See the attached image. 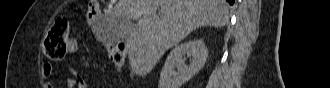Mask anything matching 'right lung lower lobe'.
<instances>
[{
    "mask_svg": "<svg viewBox=\"0 0 330 88\" xmlns=\"http://www.w3.org/2000/svg\"><path fill=\"white\" fill-rule=\"evenodd\" d=\"M234 1H235V0H227V2H228L229 4H231V5L234 4Z\"/></svg>",
    "mask_w": 330,
    "mask_h": 88,
    "instance_id": "obj_1",
    "label": "right lung lower lobe"
}]
</instances>
